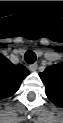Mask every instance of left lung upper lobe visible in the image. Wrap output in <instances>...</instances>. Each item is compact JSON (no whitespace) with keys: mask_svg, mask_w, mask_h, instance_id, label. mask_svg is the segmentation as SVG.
<instances>
[{"mask_svg":"<svg viewBox=\"0 0 63 123\" xmlns=\"http://www.w3.org/2000/svg\"><path fill=\"white\" fill-rule=\"evenodd\" d=\"M46 86V95L57 106L63 105V64L49 66L39 74Z\"/></svg>","mask_w":63,"mask_h":123,"instance_id":"obj_1","label":"left lung upper lobe"}]
</instances>
